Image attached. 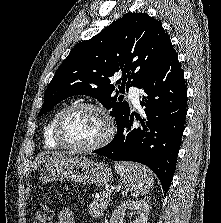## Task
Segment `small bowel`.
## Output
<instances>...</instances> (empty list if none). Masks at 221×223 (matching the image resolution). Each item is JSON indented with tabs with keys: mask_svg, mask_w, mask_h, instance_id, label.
<instances>
[{
	"mask_svg": "<svg viewBox=\"0 0 221 223\" xmlns=\"http://www.w3.org/2000/svg\"><path fill=\"white\" fill-rule=\"evenodd\" d=\"M56 223H75L73 212L67 207L62 208L59 212Z\"/></svg>",
	"mask_w": 221,
	"mask_h": 223,
	"instance_id": "small-bowel-1",
	"label": "small bowel"
}]
</instances>
